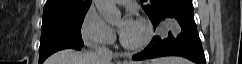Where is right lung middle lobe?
Here are the masks:
<instances>
[{"mask_svg": "<svg viewBox=\"0 0 242 64\" xmlns=\"http://www.w3.org/2000/svg\"><path fill=\"white\" fill-rule=\"evenodd\" d=\"M87 11L43 15L39 64L58 50L66 48L80 50L84 46L80 30Z\"/></svg>", "mask_w": 242, "mask_h": 64, "instance_id": "1", "label": "right lung middle lobe"}]
</instances>
